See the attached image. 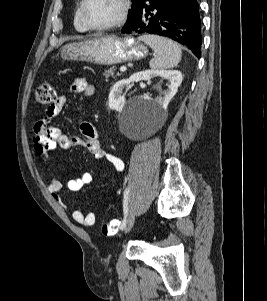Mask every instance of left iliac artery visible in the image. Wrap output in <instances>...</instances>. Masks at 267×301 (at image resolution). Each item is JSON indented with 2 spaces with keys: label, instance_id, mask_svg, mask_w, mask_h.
<instances>
[{
  "label": "left iliac artery",
  "instance_id": "left-iliac-artery-1",
  "mask_svg": "<svg viewBox=\"0 0 267 301\" xmlns=\"http://www.w3.org/2000/svg\"><path fill=\"white\" fill-rule=\"evenodd\" d=\"M130 189L126 188L124 191V198H123V211H124V218L121 223L120 229H124L126 222H127V216H128V197H129Z\"/></svg>",
  "mask_w": 267,
  "mask_h": 301
}]
</instances>
